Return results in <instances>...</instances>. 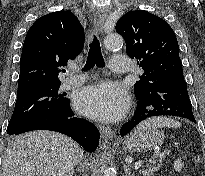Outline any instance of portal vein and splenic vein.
I'll return each mask as SVG.
<instances>
[{
    "label": "portal vein and splenic vein",
    "mask_w": 205,
    "mask_h": 176,
    "mask_svg": "<svg viewBox=\"0 0 205 176\" xmlns=\"http://www.w3.org/2000/svg\"><path fill=\"white\" fill-rule=\"evenodd\" d=\"M161 156H164V153L161 154ZM141 165H142V161L136 162L134 165L135 170H138L141 167Z\"/></svg>",
    "instance_id": "1"
}]
</instances>
